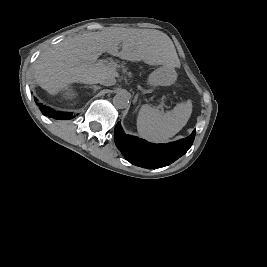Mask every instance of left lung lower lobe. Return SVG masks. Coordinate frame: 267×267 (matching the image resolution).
<instances>
[{
    "instance_id": "1",
    "label": "left lung lower lobe",
    "mask_w": 267,
    "mask_h": 267,
    "mask_svg": "<svg viewBox=\"0 0 267 267\" xmlns=\"http://www.w3.org/2000/svg\"><path fill=\"white\" fill-rule=\"evenodd\" d=\"M196 131L179 141L169 144H151L145 140L126 135L120 122L115 126L114 138L117 148L132 164L157 169L167 166L181 157L191 147Z\"/></svg>"
}]
</instances>
